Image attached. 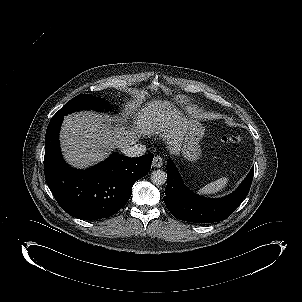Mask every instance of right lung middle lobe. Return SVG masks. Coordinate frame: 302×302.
I'll return each instance as SVG.
<instances>
[{
  "mask_svg": "<svg viewBox=\"0 0 302 302\" xmlns=\"http://www.w3.org/2000/svg\"><path fill=\"white\" fill-rule=\"evenodd\" d=\"M93 108L95 110L102 111L109 108L104 98L95 97L91 94H82L74 97L68 101L54 116L52 119L64 117L65 115L83 110Z\"/></svg>",
  "mask_w": 302,
  "mask_h": 302,
  "instance_id": "obj_1",
  "label": "right lung middle lobe"
}]
</instances>
